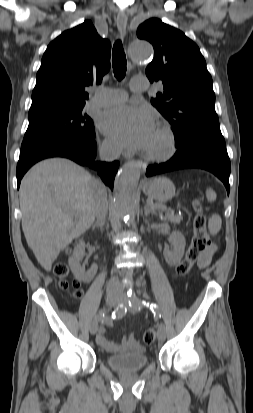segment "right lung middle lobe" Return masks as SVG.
I'll return each instance as SVG.
<instances>
[{
	"instance_id": "right-lung-middle-lobe-1",
	"label": "right lung middle lobe",
	"mask_w": 253,
	"mask_h": 413,
	"mask_svg": "<svg viewBox=\"0 0 253 413\" xmlns=\"http://www.w3.org/2000/svg\"><path fill=\"white\" fill-rule=\"evenodd\" d=\"M83 105L53 107L29 112V126L21 150L67 139H87L94 135V124L82 114Z\"/></svg>"
}]
</instances>
